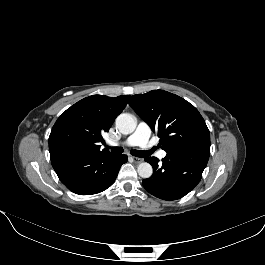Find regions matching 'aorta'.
Returning a JSON list of instances; mask_svg holds the SVG:
<instances>
[{
    "label": "aorta",
    "instance_id": "aorta-1",
    "mask_svg": "<svg viewBox=\"0 0 265 265\" xmlns=\"http://www.w3.org/2000/svg\"><path fill=\"white\" fill-rule=\"evenodd\" d=\"M116 127L122 134H131L136 128V119L133 115L122 113L116 118ZM138 175L142 178H149L153 173L152 166L147 162H142L137 168Z\"/></svg>",
    "mask_w": 265,
    "mask_h": 265
}]
</instances>
